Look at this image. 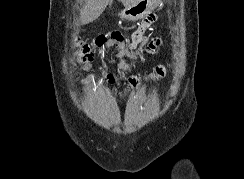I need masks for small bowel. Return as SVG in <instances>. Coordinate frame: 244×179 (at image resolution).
<instances>
[{"label":"small bowel","instance_id":"small-bowel-1","mask_svg":"<svg viewBox=\"0 0 244 179\" xmlns=\"http://www.w3.org/2000/svg\"><path fill=\"white\" fill-rule=\"evenodd\" d=\"M131 19L140 20V23L130 37L125 36L120 31H113L107 35L98 37L96 41V45L99 49H117L116 59L121 70H131L134 68V66L125 61V58L140 62L142 60L141 53L143 49L148 52H153L156 46L161 42L160 39H154L151 43H148V32L156 18ZM107 78L110 82H115L121 78V75L108 74Z\"/></svg>","mask_w":244,"mask_h":179}]
</instances>
